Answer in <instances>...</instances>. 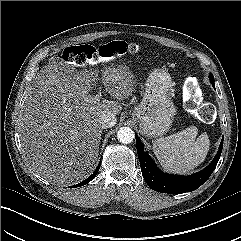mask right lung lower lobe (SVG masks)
<instances>
[{
    "label": "right lung lower lobe",
    "mask_w": 241,
    "mask_h": 241,
    "mask_svg": "<svg viewBox=\"0 0 241 241\" xmlns=\"http://www.w3.org/2000/svg\"><path fill=\"white\" fill-rule=\"evenodd\" d=\"M99 169H100V164L97 166L96 170L94 171V173L90 177H88L86 180L82 181L81 183L75 185L74 187L83 186V185L87 184L88 182H90L92 179L95 178Z\"/></svg>",
    "instance_id": "right-lung-lower-lobe-1"
}]
</instances>
